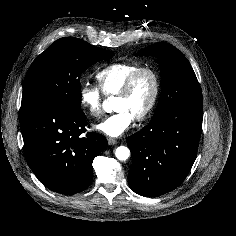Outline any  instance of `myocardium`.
I'll return each instance as SVG.
<instances>
[{"label": "myocardium", "instance_id": "f54148a6", "mask_svg": "<svg viewBox=\"0 0 236 236\" xmlns=\"http://www.w3.org/2000/svg\"><path fill=\"white\" fill-rule=\"evenodd\" d=\"M149 74L153 79L154 84V90L152 98L148 104V106L138 115H136L134 118L137 121H142L146 118H148L155 110L160 94H161V78L158 73V71L152 67V66H141L137 70H135L125 81L121 89L118 91V93L115 95L117 98H123L130 94L132 91L134 85L136 84L137 80L142 74Z\"/></svg>", "mask_w": 236, "mask_h": 236}]
</instances>
